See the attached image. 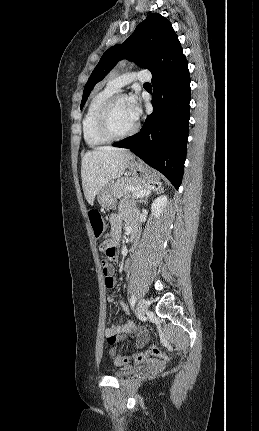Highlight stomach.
Segmentation results:
<instances>
[{"mask_svg":"<svg viewBox=\"0 0 259 431\" xmlns=\"http://www.w3.org/2000/svg\"><path fill=\"white\" fill-rule=\"evenodd\" d=\"M128 169L132 177L138 179L145 184H155L159 181L158 174L144 165L141 162L129 161ZM97 200L99 204L106 209H111L115 205V197L112 193V184L107 183L97 194Z\"/></svg>","mask_w":259,"mask_h":431,"instance_id":"stomach-1","label":"stomach"}]
</instances>
